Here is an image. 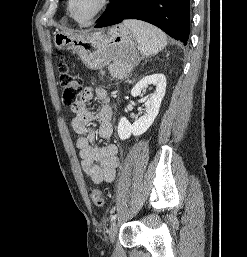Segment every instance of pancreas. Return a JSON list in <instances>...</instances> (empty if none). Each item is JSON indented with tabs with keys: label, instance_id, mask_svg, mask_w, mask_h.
Returning <instances> with one entry per match:
<instances>
[{
	"label": "pancreas",
	"instance_id": "pancreas-1",
	"mask_svg": "<svg viewBox=\"0 0 247 257\" xmlns=\"http://www.w3.org/2000/svg\"><path fill=\"white\" fill-rule=\"evenodd\" d=\"M128 70L129 69L127 67H124L119 63H113L112 65L109 66L110 74L115 77H122L126 75Z\"/></svg>",
	"mask_w": 247,
	"mask_h": 257
}]
</instances>
